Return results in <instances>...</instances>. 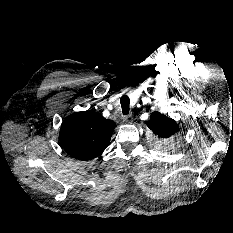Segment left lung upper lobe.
Wrapping results in <instances>:
<instances>
[{
  "mask_svg": "<svg viewBox=\"0 0 233 233\" xmlns=\"http://www.w3.org/2000/svg\"><path fill=\"white\" fill-rule=\"evenodd\" d=\"M147 126L158 138L162 139L170 138L179 129V125L175 120L157 111L151 114L150 119L147 121Z\"/></svg>",
  "mask_w": 233,
  "mask_h": 233,
  "instance_id": "obj_1",
  "label": "left lung upper lobe"
}]
</instances>
